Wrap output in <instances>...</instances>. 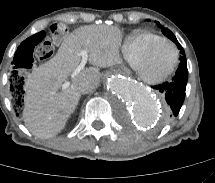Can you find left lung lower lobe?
<instances>
[{
    "mask_svg": "<svg viewBox=\"0 0 215 183\" xmlns=\"http://www.w3.org/2000/svg\"><path fill=\"white\" fill-rule=\"evenodd\" d=\"M175 76L170 82L154 86L161 92L167 103V119L176 117L185 99V91L188 80V69L186 58L180 60Z\"/></svg>",
    "mask_w": 215,
    "mask_h": 183,
    "instance_id": "obj_1",
    "label": "left lung lower lobe"
}]
</instances>
